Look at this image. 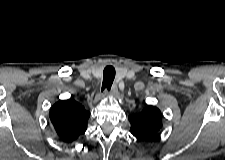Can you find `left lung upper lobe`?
<instances>
[{"label": "left lung upper lobe", "instance_id": "1", "mask_svg": "<svg viewBox=\"0 0 225 160\" xmlns=\"http://www.w3.org/2000/svg\"><path fill=\"white\" fill-rule=\"evenodd\" d=\"M162 114L154 106H147L142 112L129 116L130 132L138 141L153 139L162 127Z\"/></svg>", "mask_w": 225, "mask_h": 160}]
</instances>
